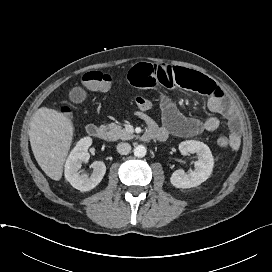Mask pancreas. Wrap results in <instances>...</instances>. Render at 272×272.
I'll return each mask as SVG.
<instances>
[{
  "label": "pancreas",
  "instance_id": "1",
  "mask_svg": "<svg viewBox=\"0 0 272 272\" xmlns=\"http://www.w3.org/2000/svg\"><path fill=\"white\" fill-rule=\"evenodd\" d=\"M107 139L110 141H116V140H130L134 138V135L128 133L125 129L122 128V126L118 123H111L107 127Z\"/></svg>",
  "mask_w": 272,
  "mask_h": 272
}]
</instances>
